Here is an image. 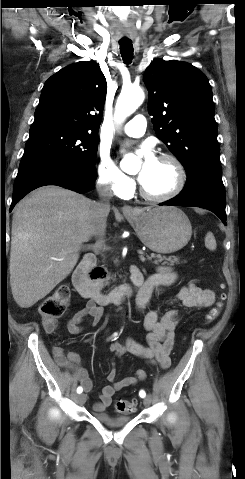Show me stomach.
I'll return each mask as SVG.
<instances>
[{"label": "stomach", "instance_id": "1", "mask_svg": "<svg viewBox=\"0 0 245 479\" xmlns=\"http://www.w3.org/2000/svg\"><path fill=\"white\" fill-rule=\"evenodd\" d=\"M126 217L142 243L154 252H176L192 235L188 217L176 207H145Z\"/></svg>", "mask_w": 245, "mask_h": 479}]
</instances>
